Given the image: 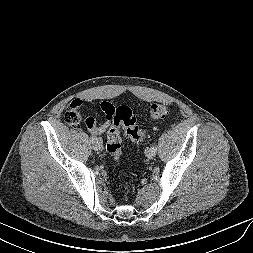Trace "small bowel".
Returning <instances> with one entry per match:
<instances>
[{
	"label": "small bowel",
	"mask_w": 253,
	"mask_h": 253,
	"mask_svg": "<svg viewBox=\"0 0 253 253\" xmlns=\"http://www.w3.org/2000/svg\"><path fill=\"white\" fill-rule=\"evenodd\" d=\"M114 106L110 103H103L101 105V111L105 116V121L102 124H96L94 120V124L92 126H87L91 133L95 135H99L104 133L110 126H111V120H112V108Z\"/></svg>",
	"instance_id": "small-bowel-1"
}]
</instances>
